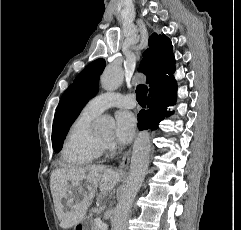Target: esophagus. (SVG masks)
<instances>
[{"mask_svg":"<svg viewBox=\"0 0 241 230\" xmlns=\"http://www.w3.org/2000/svg\"><path fill=\"white\" fill-rule=\"evenodd\" d=\"M130 156H131V149H129L123 156L120 162V169H126L128 167L130 162Z\"/></svg>","mask_w":241,"mask_h":230,"instance_id":"34e87169","label":"esophagus"}]
</instances>
